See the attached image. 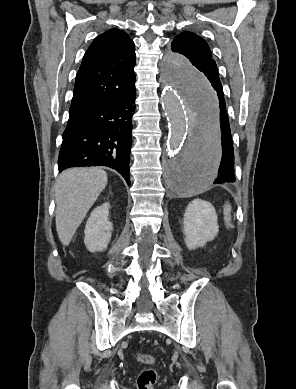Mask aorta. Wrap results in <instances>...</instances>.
<instances>
[{
    "mask_svg": "<svg viewBox=\"0 0 296 389\" xmlns=\"http://www.w3.org/2000/svg\"><path fill=\"white\" fill-rule=\"evenodd\" d=\"M162 77V105L169 124L167 189L197 194L209 189L221 159L216 130L218 92L203 72L179 54L165 57Z\"/></svg>",
    "mask_w": 296,
    "mask_h": 389,
    "instance_id": "1",
    "label": "aorta"
}]
</instances>
